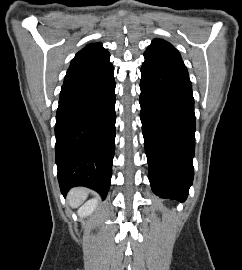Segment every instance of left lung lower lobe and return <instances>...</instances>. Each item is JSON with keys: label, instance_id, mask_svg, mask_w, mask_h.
<instances>
[{"label": "left lung lower lobe", "instance_id": "left-lung-lower-lobe-1", "mask_svg": "<svg viewBox=\"0 0 242 270\" xmlns=\"http://www.w3.org/2000/svg\"><path fill=\"white\" fill-rule=\"evenodd\" d=\"M140 119L155 194L183 202L194 177L195 114L185 65L145 59Z\"/></svg>", "mask_w": 242, "mask_h": 270}]
</instances>
